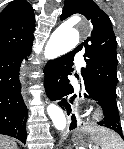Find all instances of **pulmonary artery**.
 Returning <instances> with one entry per match:
<instances>
[{
	"instance_id": "pulmonary-artery-1",
	"label": "pulmonary artery",
	"mask_w": 124,
	"mask_h": 149,
	"mask_svg": "<svg viewBox=\"0 0 124 149\" xmlns=\"http://www.w3.org/2000/svg\"><path fill=\"white\" fill-rule=\"evenodd\" d=\"M76 61L79 68L85 64L81 55H76Z\"/></svg>"
}]
</instances>
